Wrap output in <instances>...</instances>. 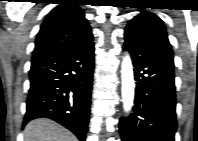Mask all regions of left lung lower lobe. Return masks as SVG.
<instances>
[{
    "instance_id": "obj_1",
    "label": "left lung lower lobe",
    "mask_w": 198,
    "mask_h": 141,
    "mask_svg": "<svg viewBox=\"0 0 198 141\" xmlns=\"http://www.w3.org/2000/svg\"><path fill=\"white\" fill-rule=\"evenodd\" d=\"M136 82L133 113L122 118V141H174L177 129L174 56L169 44H150L125 34Z\"/></svg>"
}]
</instances>
